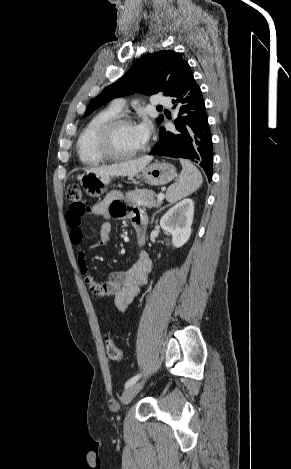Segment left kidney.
I'll use <instances>...</instances> for the list:
<instances>
[{"instance_id":"5707ae66","label":"left kidney","mask_w":291,"mask_h":469,"mask_svg":"<svg viewBox=\"0 0 291 469\" xmlns=\"http://www.w3.org/2000/svg\"><path fill=\"white\" fill-rule=\"evenodd\" d=\"M194 203L187 198L170 208L161 218L160 226L172 235L174 247H182L190 238Z\"/></svg>"}]
</instances>
